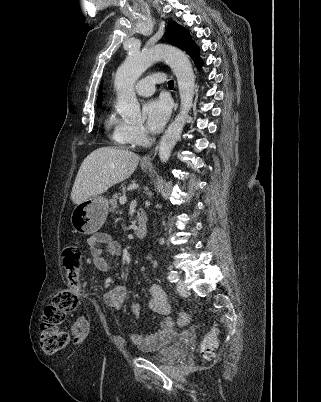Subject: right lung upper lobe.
<instances>
[{"instance_id": "1", "label": "right lung upper lobe", "mask_w": 321, "mask_h": 402, "mask_svg": "<svg viewBox=\"0 0 321 402\" xmlns=\"http://www.w3.org/2000/svg\"><path fill=\"white\" fill-rule=\"evenodd\" d=\"M101 90H102V83L100 84V88H99V94H98V98H97V105L99 106H101V103H102V92H101Z\"/></svg>"}]
</instances>
